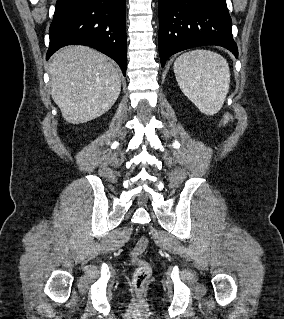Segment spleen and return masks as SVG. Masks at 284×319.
<instances>
[{
    "instance_id": "obj_1",
    "label": "spleen",
    "mask_w": 284,
    "mask_h": 319,
    "mask_svg": "<svg viewBox=\"0 0 284 319\" xmlns=\"http://www.w3.org/2000/svg\"><path fill=\"white\" fill-rule=\"evenodd\" d=\"M174 73L184 95L206 115L223 106L230 85V69L224 57L210 50H193L174 62Z\"/></svg>"
}]
</instances>
